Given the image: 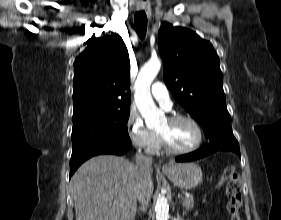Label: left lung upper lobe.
<instances>
[{"label":"left lung upper lobe","mask_w":281,"mask_h":220,"mask_svg":"<svg viewBox=\"0 0 281 220\" xmlns=\"http://www.w3.org/2000/svg\"><path fill=\"white\" fill-rule=\"evenodd\" d=\"M158 45L167 87L201 125L209 144L239 145L232 132L223 74L212 44L189 29L164 22L158 33Z\"/></svg>","instance_id":"5c2ea615"}]
</instances>
